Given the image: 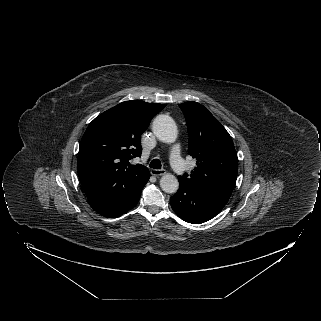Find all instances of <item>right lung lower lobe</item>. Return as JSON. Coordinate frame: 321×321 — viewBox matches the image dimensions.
<instances>
[{"mask_svg":"<svg viewBox=\"0 0 321 321\" xmlns=\"http://www.w3.org/2000/svg\"><path fill=\"white\" fill-rule=\"evenodd\" d=\"M149 177H147L140 186L130 191L101 193L93 197H88V202L90 206L102 216H120L138 203L141 191L149 180Z\"/></svg>","mask_w":321,"mask_h":321,"instance_id":"right-lung-lower-lobe-1","label":"right lung lower lobe"}]
</instances>
